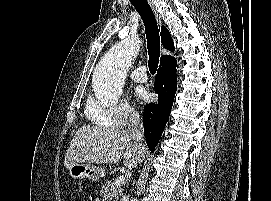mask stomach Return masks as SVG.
<instances>
[{
    "instance_id": "stomach-1",
    "label": "stomach",
    "mask_w": 271,
    "mask_h": 201,
    "mask_svg": "<svg viewBox=\"0 0 271 201\" xmlns=\"http://www.w3.org/2000/svg\"><path fill=\"white\" fill-rule=\"evenodd\" d=\"M104 171L91 164L76 163L69 168V175L74 180L98 181Z\"/></svg>"
}]
</instances>
